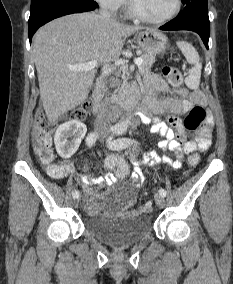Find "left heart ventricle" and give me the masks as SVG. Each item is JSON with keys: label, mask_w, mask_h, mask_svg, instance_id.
<instances>
[{"label": "left heart ventricle", "mask_w": 233, "mask_h": 284, "mask_svg": "<svg viewBox=\"0 0 233 284\" xmlns=\"http://www.w3.org/2000/svg\"><path fill=\"white\" fill-rule=\"evenodd\" d=\"M134 3L142 14L151 18L165 16L174 6V0H134Z\"/></svg>", "instance_id": "obj_1"}]
</instances>
